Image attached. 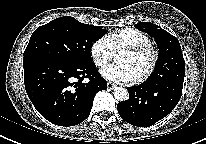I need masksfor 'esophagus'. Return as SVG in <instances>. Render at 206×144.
I'll list each match as a JSON object with an SVG mask.
<instances>
[{"mask_svg": "<svg viewBox=\"0 0 206 144\" xmlns=\"http://www.w3.org/2000/svg\"><path fill=\"white\" fill-rule=\"evenodd\" d=\"M116 87V85L114 84V83H112V82H108L107 83V88L109 89V90H112V89H114Z\"/></svg>", "mask_w": 206, "mask_h": 144, "instance_id": "1", "label": "esophagus"}]
</instances>
